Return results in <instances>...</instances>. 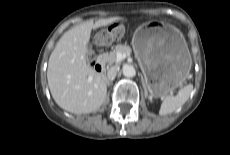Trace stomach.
I'll return each mask as SVG.
<instances>
[{"instance_id": "stomach-1", "label": "stomach", "mask_w": 230, "mask_h": 155, "mask_svg": "<svg viewBox=\"0 0 230 155\" xmlns=\"http://www.w3.org/2000/svg\"><path fill=\"white\" fill-rule=\"evenodd\" d=\"M132 47L150 97L164 98L181 86L191 69V56L181 32L159 20L140 25Z\"/></svg>"}]
</instances>
